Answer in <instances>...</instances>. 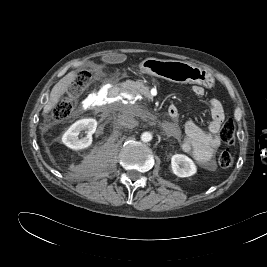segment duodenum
Wrapping results in <instances>:
<instances>
[{"label": "duodenum", "instance_id": "obj_1", "mask_svg": "<svg viewBox=\"0 0 267 267\" xmlns=\"http://www.w3.org/2000/svg\"><path fill=\"white\" fill-rule=\"evenodd\" d=\"M129 91V84L126 81H119L113 88H112V95L115 98H122L127 92ZM177 110L175 107L170 106L168 108V115L171 118L177 117Z\"/></svg>", "mask_w": 267, "mask_h": 267}]
</instances>
